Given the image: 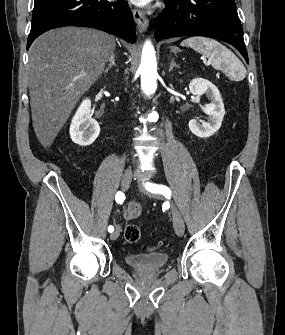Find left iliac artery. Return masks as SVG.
<instances>
[{
	"mask_svg": "<svg viewBox=\"0 0 285 335\" xmlns=\"http://www.w3.org/2000/svg\"><path fill=\"white\" fill-rule=\"evenodd\" d=\"M145 188L152 192V193H159V194H163V195H170L171 194V190L164 185H159V184H154V183H147Z\"/></svg>",
	"mask_w": 285,
	"mask_h": 335,
	"instance_id": "left-iliac-artery-1",
	"label": "left iliac artery"
}]
</instances>
